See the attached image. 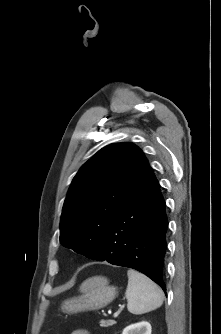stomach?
Wrapping results in <instances>:
<instances>
[{"instance_id": "0dacf381", "label": "stomach", "mask_w": 221, "mask_h": 334, "mask_svg": "<svg viewBox=\"0 0 221 334\" xmlns=\"http://www.w3.org/2000/svg\"><path fill=\"white\" fill-rule=\"evenodd\" d=\"M81 295L65 300L61 309L65 313H79L101 309L111 303L117 294L116 287L109 285L105 277L95 276L84 281Z\"/></svg>"}]
</instances>
